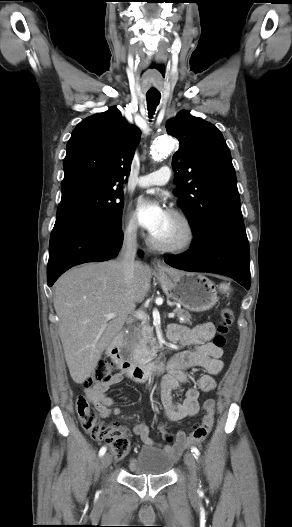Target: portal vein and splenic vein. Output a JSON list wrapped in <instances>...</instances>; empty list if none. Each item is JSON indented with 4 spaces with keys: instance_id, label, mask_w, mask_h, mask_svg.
<instances>
[{
    "instance_id": "portal-vein-and-splenic-vein-1",
    "label": "portal vein and splenic vein",
    "mask_w": 292,
    "mask_h": 527,
    "mask_svg": "<svg viewBox=\"0 0 292 527\" xmlns=\"http://www.w3.org/2000/svg\"><path fill=\"white\" fill-rule=\"evenodd\" d=\"M115 316L116 315L114 313H110V314L106 315V318L107 319H112ZM133 316L138 318V319H140V320H142L143 322H146L147 318H148L147 315L144 312H142V311H136ZM174 316H175L174 312H171V313L168 314L169 318H174Z\"/></svg>"
}]
</instances>
